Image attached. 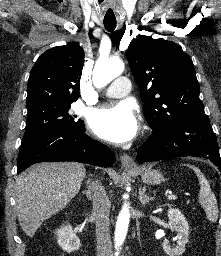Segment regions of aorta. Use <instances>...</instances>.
<instances>
[{
    "instance_id": "obj_1",
    "label": "aorta",
    "mask_w": 221,
    "mask_h": 256,
    "mask_svg": "<svg viewBox=\"0 0 221 256\" xmlns=\"http://www.w3.org/2000/svg\"><path fill=\"white\" fill-rule=\"evenodd\" d=\"M124 63L119 59L99 60L93 70V83L96 88L105 87L124 71ZM130 221L129 205L122 207L115 228V248L118 250L125 240Z\"/></svg>"
}]
</instances>
